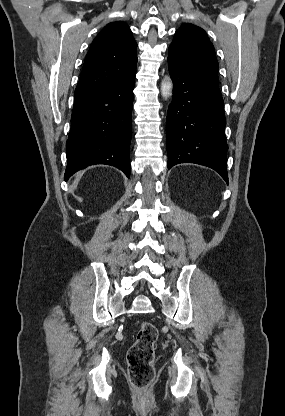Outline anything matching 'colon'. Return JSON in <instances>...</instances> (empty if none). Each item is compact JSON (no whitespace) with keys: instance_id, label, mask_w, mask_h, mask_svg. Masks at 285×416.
<instances>
[{"instance_id":"5ec220e1","label":"colon","mask_w":285,"mask_h":416,"mask_svg":"<svg viewBox=\"0 0 285 416\" xmlns=\"http://www.w3.org/2000/svg\"><path fill=\"white\" fill-rule=\"evenodd\" d=\"M158 331L151 322H141L135 342L127 353L129 378L138 391V402L147 406L151 402L150 388L155 379L154 350Z\"/></svg>"}]
</instances>
